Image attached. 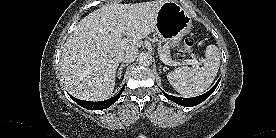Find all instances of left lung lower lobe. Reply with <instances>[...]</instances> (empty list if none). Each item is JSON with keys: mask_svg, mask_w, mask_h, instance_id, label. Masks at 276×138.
Here are the masks:
<instances>
[{"mask_svg": "<svg viewBox=\"0 0 276 138\" xmlns=\"http://www.w3.org/2000/svg\"><path fill=\"white\" fill-rule=\"evenodd\" d=\"M221 79V78H220ZM220 79L218 80V82L215 84V86L209 90L207 93L197 96V97H193V98H180V97H175L172 95H168L166 93L163 92V94L165 95V97L179 105L182 106H186V107H190V106H195L200 104L201 102H203L204 100H206L216 89Z\"/></svg>", "mask_w": 276, "mask_h": 138, "instance_id": "obj_1", "label": "left lung lower lobe"}]
</instances>
